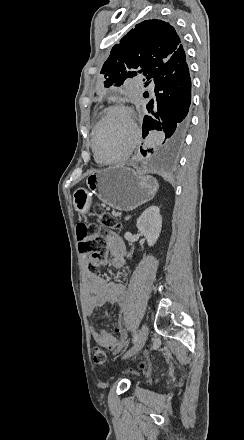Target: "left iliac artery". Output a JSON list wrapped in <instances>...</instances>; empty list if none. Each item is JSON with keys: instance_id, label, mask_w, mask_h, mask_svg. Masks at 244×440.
Listing matches in <instances>:
<instances>
[{"instance_id": "left-iliac-artery-1", "label": "left iliac artery", "mask_w": 244, "mask_h": 440, "mask_svg": "<svg viewBox=\"0 0 244 440\" xmlns=\"http://www.w3.org/2000/svg\"><path fill=\"white\" fill-rule=\"evenodd\" d=\"M137 339H138V334L135 332L133 335L132 342L135 343L137 341Z\"/></svg>"}]
</instances>
